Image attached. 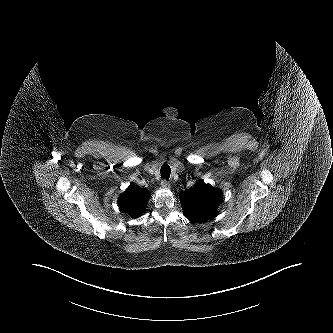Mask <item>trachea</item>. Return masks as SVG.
Instances as JSON below:
<instances>
[{"label":"trachea","instance_id":"3493384b","mask_svg":"<svg viewBox=\"0 0 333 333\" xmlns=\"http://www.w3.org/2000/svg\"><path fill=\"white\" fill-rule=\"evenodd\" d=\"M170 177V167L167 164H163L161 167V178L168 180Z\"/></svg>","mask_w":333,"mask_h":333}]
</instances>
